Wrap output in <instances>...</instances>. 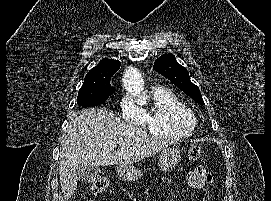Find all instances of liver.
<instances>
[{"instance_id": "6515ba94", "label": "liver", "mask_w": 271, "mask_h": 201, "mask_svg": "<svg viewBox=\"0 0 271 201\" xmlns=\"http://www.w3.org/2000/svg\"><path fill=\"white\" fill-rule=\"evenodd\" d=\"M173 142L148 135L123 122L106 108L73 113L61 141L59 179L65 201L77 189L78 165H129L169 147ZM118 151H114L115 146Z\"/></svg>"}]
</instances>
